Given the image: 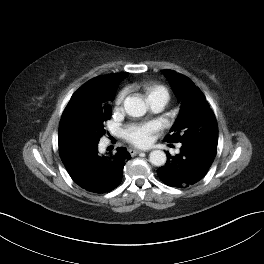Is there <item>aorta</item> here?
I'll use <instances>...</instances> for the list:
<instances>
[{
	"instance_id": "1",
	"label": "aorta",
	"mask_w": 264,
	"mask_h": 264,
	"mask_svg": "<svg viewBox=\"0 0 264 264\" xmlns=\"http://www.w3.org/2000/svg\"><path fill=\"white\" fill-rule=\"evenodd\" d=\"M124 108L126 113L132 117H141L147 111L145 102L136 96H128L124 100ZM149 160L155 166H163L167 157L164 151L154 150L149 154Z\"/></svg>"
}]
</instances>
